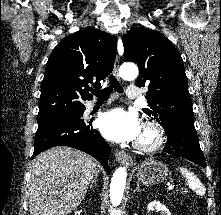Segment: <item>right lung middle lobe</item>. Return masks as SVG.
<instances>
[{
	"label": "right lung middle lobe",
	"mask_w": 221,
	"mask_h": 215,
	"mask_svg": "<svg viewBox=\"0 0 221 215\" xmlns=\"http://www.w3.org/2000/svg\"><path fill=\"white\" fill-rule=\"evenodd\" d=\"M83 110H84V108H81V109H78V110H75L72 112H68V113H64V114H60V115L38 117V124L52 121V120H56V119L76 117V116L82 114Z\"/></svg>",
	"instance_id": "dd1d6c3e"
}]
</instances>
